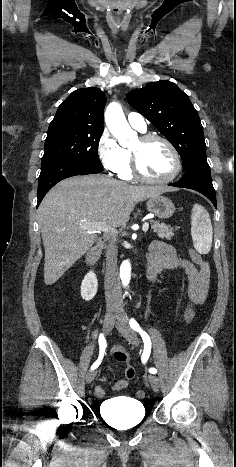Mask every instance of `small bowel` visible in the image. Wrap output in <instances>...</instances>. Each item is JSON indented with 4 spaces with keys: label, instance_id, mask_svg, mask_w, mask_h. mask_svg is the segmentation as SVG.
Here are the masks:
<instances>
[{
    "label": "small bowel",
    "instance_id": "small-bowel-1",
    "mask_svg": "<svg viewBox=\"0 0 236 467\" xmlns=\"http://www.w3.org/2000/svg\"><path fill=\"white\" fill-rule=\"evenodd\" d=\"M149 279H153L157 274L163 270L182 268L188 278V294L190 300L194 304H202L205 302L210 285V267L206 262H203L200 266L195 265L186 259H181L176 255L175 249L168 243L163 241H155L152 243L149 253ZM117 352H122L126 355L124 362L125 367V378L118 380L113 385L114 391H122L129 387L130 381L135 376V369L129 362L128 353L120 346L112 348V353L115 357ZM101 382H106L105 376H100ZM95 395L97 397H104L105 392L100 386L95 387Z\"/></svg>",
    "mask_w": 236,
    "mask_h": 467
}]
</instances>
